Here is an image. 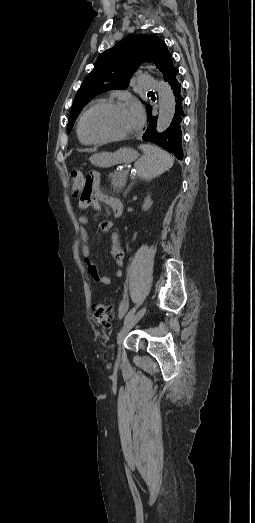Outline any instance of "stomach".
Masks as SVG:
<instances>
[{"label":"stomach","instance_id":"1","mask_svg":"<svg viewBox=\"0 0 255 523\" xmlns=\"http://www.w3.org/2000/svg\"><path fill=\"white\" fill-rule=\"evenodd\" d=\"M136 154L132 148H120L118 152L115 151H95L90 159V164L93 167L108 168L114 164H129L135 160ZM105 162H110L106 164Z\"/></svg>","mask_w":255,"mask_h":523}]
</instances>
